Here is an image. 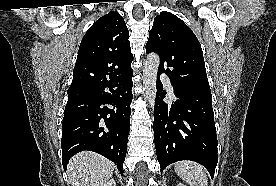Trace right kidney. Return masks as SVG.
Segmentation results:
<instances>
[{
  "label": "right kidney",
  "instance_id": "obj_1",
  "mask_svg": "<svg viewBox=\"0 0 276 186\" xmlns=\"http://www.w3.org/2000/svg\"><path fill=\"white\" fill-rule=\"evenodd\" d=\"M103 186H116V183H115V181L112 179V180L106 182Z\"/></svg>",
  "mask_w": 276,
  "mask_h": 186
}]
</instances>
